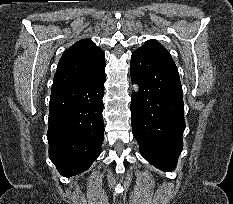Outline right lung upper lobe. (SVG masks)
<instances>
[{"label":"right lung upper lobe","mask_w":233,"mask_h":204,"mask_svg":"<svg viewBox=\"0 0 233 204\" xmlns=\"http://www.w3.org/2000/svg\"><path fill=\"white\" fill-rule=\"evenodd\" d=\"M104 66V52L90 39L80 40L63 53L52 92L88 81Z\"/></svg>","instance_id":"1"}]
</instances>
